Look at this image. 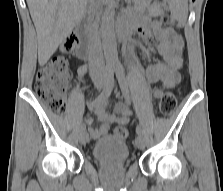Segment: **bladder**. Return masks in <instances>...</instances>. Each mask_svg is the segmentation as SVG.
Here are the masks:
<instances>
[{"label":"bladder","mask_w":223,"mask_h":191,"mask_svg":"<svg viewBox=\"0 0 223 191\" xmlns=\"http://www.w3.org/2000/svg\"><path fill=\"white\" fill-rule=\"evenodd\" d=\"M127 143L115 135L105 136L92 147L93 158L103 164H121L129 159Z\"/></svg>","instance_id":"1"}]
</instances>
